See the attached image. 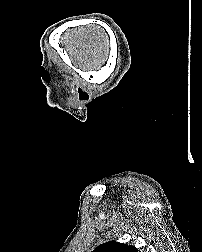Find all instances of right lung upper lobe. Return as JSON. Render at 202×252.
I'll return each instance as SVG.
<instances>
[{
	"mask_svg": "<svg viewBox=\"0 0 202 252\" xmlns=\"http://www.w3.org/2000/svg\"><path fill=\"white\" fill-rule=\"evenodd\" d=\"M93 252H138L135 247L127 246L123 243L110 241L100 245Z\"/></svg>",
	"mask_w": 202,
	"mask_h": 252,
	"instance_id": "obj_1",
	"label": "right lung upper lobe"
}]
</instances>
